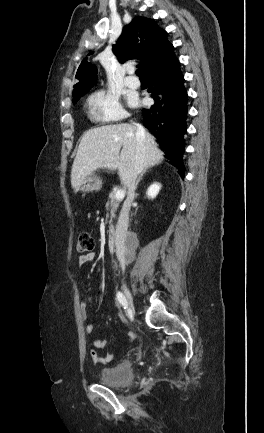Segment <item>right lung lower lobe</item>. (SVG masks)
<instances>
[{"label":"right lung lower lobe","mask_w":264,"mask_h":433,"mask_svg":"<svg viewBox=\"0 0 264 433\" xmlns=\"http://www.w3.org/2000/svg\"><path fill=\"white\" fill-rule=\"evenodd\" d=\"M145 76L154 104L149 109H143V125L156 136L166 157L184 178L182 154L185 150L183 135L186 132L188 96L180 63L174 56Z\"/></svg>","instance_id":"right-lung-lower-lobe-1"}]
</instances>
